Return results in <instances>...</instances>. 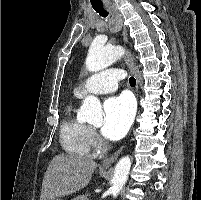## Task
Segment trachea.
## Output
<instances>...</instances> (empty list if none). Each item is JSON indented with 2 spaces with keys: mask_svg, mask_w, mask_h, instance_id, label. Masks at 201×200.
Wrapping results in <instances>:
<instances>
[{
  "mask_svg": "<svg viewBox=\"0 0 201 200\" xmlns=\"http://www.w3.org/2000/svg\"><path fill=\"white\" fill-rule=\"evenodd\" d=\"M93 9L103 18H106L108 16V12L104 9L103 5L100 6H93ZM129 83L132 87H135L136 85V79L134 77L129 78Z\"/></svg>",
  "mask_w": 201,
  "mask_h": 200,
  "instance_id": "1",
  "label": "trachea"
}]
</instances>
